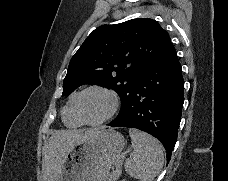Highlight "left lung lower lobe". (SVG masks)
<instances>
[{
	"label": "left lung lower lobe",
	"mask_w": 228,
	"mask_h": 181,
	"mask_svg": "<svg viewBox=\"0 0 228 181\" xmlns=\"http://www.w3.org/2000/svg\"><path fill=\"white\" fill-rule=\"evenodd\" d=\"M184 80L176 50L171 42L140 72L123 116L109 123L131 127L156 137L171 158L181 120Z\"/></svg>",
	"instance_id": "1"
}]
</instances>
